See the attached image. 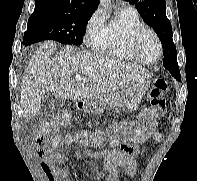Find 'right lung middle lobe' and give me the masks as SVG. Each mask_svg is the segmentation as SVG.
<instances>
[{
  "mask_svg": "<svg viewBox=\"0 0 197 181\" xmlns=\"http://www.w3.org/2000/svg\"><path fill=\"white\" fill-rule=\"evenodd\" d=\"M91 15L34 11L28 20L23 43L30 45L43 40H55L62 44L80 45Z\"/></svg>",
  "mask_w": 197,
  "mask_h": 181,
  "instance_id": "obj_1",
  "label": "right lung middle lobe"
}]
</instances>
